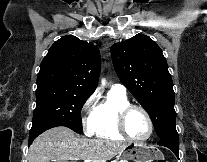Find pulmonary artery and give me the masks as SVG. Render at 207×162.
<instances>
[{
  "label": "pulmonary artery",
  "mask_w": 207,
  "mask_h": 162,
  "mask_svg": "<svg viewBox=\"0 0 207 162\" xmlns=\"http://www.w3.org/2000/svg\"><path fill=\"white\" fill-rule=\"evenodd\" d=\"M111 91L118 93V94H126V88L124 85L120 83H115L111 86Z\"/></svg>",
  "instance_id": "e3ab8cb5"
}]
</instances>
